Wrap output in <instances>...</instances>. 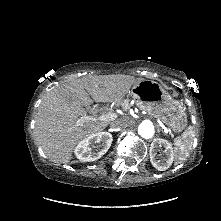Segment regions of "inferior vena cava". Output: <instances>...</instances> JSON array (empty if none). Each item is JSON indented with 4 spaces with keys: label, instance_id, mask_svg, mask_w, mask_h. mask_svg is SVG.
<instances>
[{
    "label": "inferior vena cava",
    "instance_id": "602c4592",
    "mask_svg": "<svg viewBox=\"0 0 221 221\" xmlns=\"http://www.w3.org/2000/svg\"><path fill=\"white\" fill-rule=\"evenodd\" d=\"M127 125V122L125 120H117L115 122L111 123V128H123Z\"/></svg>",
    "mask_w": 221,
    "mask_h": 221
}]
</instances>
